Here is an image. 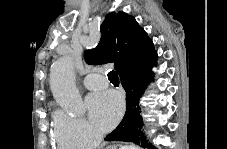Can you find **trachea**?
<instances>
[{"label":"trachea","instance_id":"3493384b","mask_svg":"<svg viewBox=\"0 0 227 149\" xmlns=\"http://www.w3.org/2000/svg\"><path fill=\"white\" fill-rule=\"evenodd\" d=\"M108 79L110 80L111 83L114 85L119 84V77L116 71L112 70L108 73Z\"/></svg>","mask_w":227,"mask_h":149}]
</instances>
